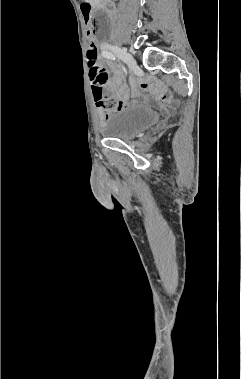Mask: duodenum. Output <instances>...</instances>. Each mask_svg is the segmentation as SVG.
<instances>
[{
	"instance_id": "duodenum-1",
	"label": "duodenum",
	"mask_w": 241,
	"mask_h": 379,
	"mask_svg": "<svg viewBox=\"0 0 241 379\" xmlns=\"http://www.w3.org/2000/svg\"><path fill=\"white\" fill-rule=\"evenodd\" d=\"M109 0H90V3L93 5H98V4H106ZM90 5V4H89Z\"/></svg>"
}]
</instances>
